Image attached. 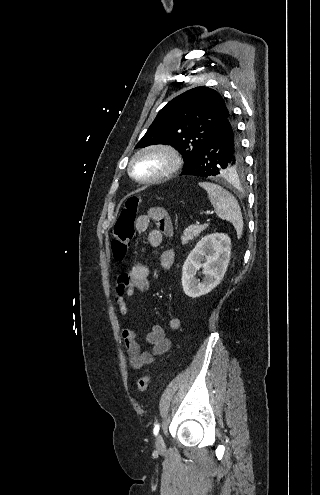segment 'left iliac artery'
<instances>
[{
  "instance_id": "obj_1",
  "label": "left iliac artery",
  "mask_w": 320,
  "mask_h": 495,
  "mask_svg": "<svg viewBox=\"0 0 320 495\" xmlns=\"http://www.w3.org/2000/svg\"><path fill=\"white\" fill-rule=\"evenodd\" d=\"M159 429H160V425L159 424H156L155 427H154V429H153L154 435H157L158 434Z\"/></svg>"
}]
</instances>
